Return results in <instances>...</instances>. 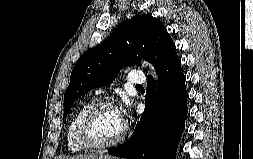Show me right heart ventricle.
<instances>
[{"label": "right heart ventricle", "instance_id": "obj_1", "mask_svg": "<svg viewBox=\"0 0 253 159\" xmlns=\"http://www.w3.org/2000/svg\"><path fill=\"white\" fill-rule=\"evenodd\" d=\"M96 103H98L97 97L90 98L82 103L70 118L66 130L67 146L70 151L78 152L85 149L77 140V128L84 114Z\"/></svg>", "mask_w": 253, "mask_h": 159}]
</instances>
